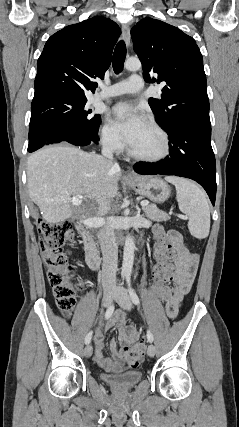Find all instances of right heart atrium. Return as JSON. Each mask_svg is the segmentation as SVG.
Listing matches in <instances>:
<instances>
[{"instance_id": "d8ad5b80", "label": "right heart atrium", "mask_w": 239, "mask_h": 427, "mask_svg": "<svg viewBox=\"0 0 239 427\" xmlns=\"http://www.w3.org/2000/svg\"><path fill=\"white\" fill-rule=\"evenodd\" d=\"M100 140L103 147L112 153H119L124 147L120 134L108 120L100 129Z\"/></svg>"}]
</instances>
